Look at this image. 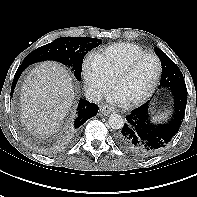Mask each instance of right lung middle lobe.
Masks as SVG:
<instances>
[{
	"label": "right lung middle lobe",
	"instance_id": "dd1d6c3e",
	"mask_svg": "<svg viewBox=\"0 0 197 197\" xmlns=\"http://www.w3.org/2000/svg\"><path fill=\"white\" fill-rule=\"evenodd\" d=\"M100 44L101 40L97 38L61 37L31 52L23 63L58 61L71 67L77 80H80L84 56Z\"/></svg>",
	"mask_w": 197,
	"mask_h": 197
}]
</instances>
